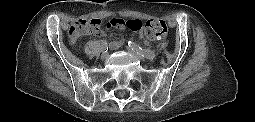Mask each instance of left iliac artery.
<instances>
[{"label":"left iliac artery","instance_id":"obj_1","mask_svg":"<svg viewBox=\"0 0 255 122\" xmlns=\"http://www.w3.org/2000/svg\"><path fill=\"white\" fill-rule=\"evenodd\" d=\"M128 46L131 47L132 50L139 52L141 55L148 59H154L155 58V53L154 51H151L149 49H142L140 46L136 45L132 41H128Z\"/></svg>","mask_w":255,"mask_h":122}]
</instances>
